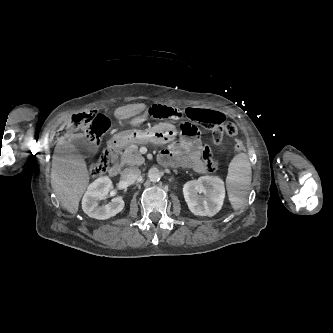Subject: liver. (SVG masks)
Returning <instances> with one entry per match:
<instances>
[{"mask_svg": "<svg viewBox=\"0 0 333 333\" xmlns=\"http://www.w3.org/2000/svg\"><path fill=\"white\" fill-rule=\"evenodd\" d=\"M145 108L144 103L128 104L115 109L114 116L118 120H126ZM88 183L89 174L84 159L68 154L65 143H59L52 161L51 185L64 209L77 213Z\"/></svg>", "mask_w": 333, "mask_h": 333, "instance_id": "6515ba94", "label": "liver"}]
</instances>
